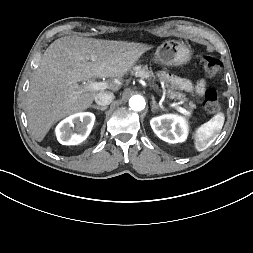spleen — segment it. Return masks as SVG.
<instances>
[{"mask_svg":"<svg viewBox=\"0 0 253 253\" xmlns=\"http://www.w3.org/2000/svg\"><path fill=\"white\" fill-rule=\"evenodd\" d=\"M224 120V114L218 113L211 120L197 128L194 135V144L197 151H203L211 145L213 140L219 135Z\"/></svg>","mask_w":253,"mask_h":253,"instance_id":"spleen-1","label":"spleen"}]
</instances>
